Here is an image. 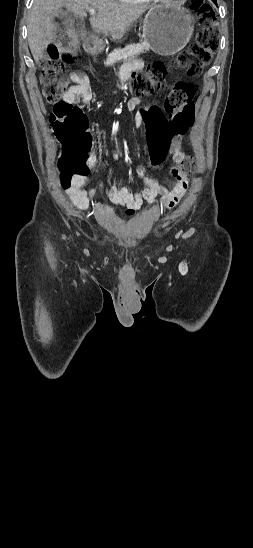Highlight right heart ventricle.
<instances>
[{
  "mask_svg": "<svg viewBox=\"0 0 253 548\" xmlns=\"http://www.w3.org/2000/svg\"><path fill=\"white\" fill-rule=\"evenodd\" d=\"M122 3H126V4H134V5H138V4H147L149 3L151 0H118Z\"/></svg>",
  "mask_w": 253,
  "mask_h": 548,
  "instance_id": "right-heart-ventricle-1",
  "label": "right heart ventricle"
}]
</instances>
